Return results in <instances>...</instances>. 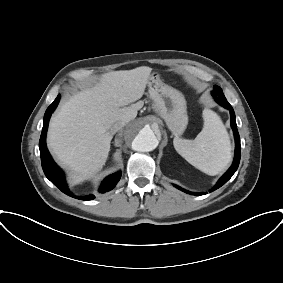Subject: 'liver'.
I'll return each mask as SVG.
<instances>
[{"instance_id":"obj_1","label":"liver","mask_w":283,"mask_h":283,"mask_svg":"<svg viewBox=\"0 0 283 283\" xmlns=\"http://www.w3.org/2000/svg\"><path fill=\"white\" fill-rule=\"evenodd\" d=\"M151 71L141 66L106 73L94 87L63 103L51 118L48 146L74 172L71 183L91 177L105 165L112 140L110 128L136 118L144 103H133L143 96Z\"/></svg>"}]
</instances>
